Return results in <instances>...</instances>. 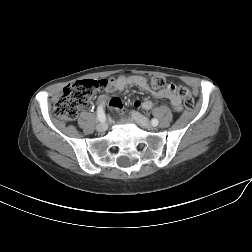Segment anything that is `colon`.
Segmentation results:
<instances>
[{"mask_svg": "<svg viewBox=\"0 0 252 252\" xmlns=\"http://www.w3.org/2000/svg\"><path fill=\"white\" fill-rule=\"evenodd\" d=\"M108 80H81L67 85L54 105V114L63 120L74 119L79 111L90 103L93 96L107 86ZM150 85L154 89L176 90L175 85L168 83L165 78L153 76ZM187 109L194 107V98L188 88L181 86L177 89Z\"/></svg>", "mask_w": 252, "mask_h": 252, "instance_id": "colon-1", "label": "colon"}]
</instances>
